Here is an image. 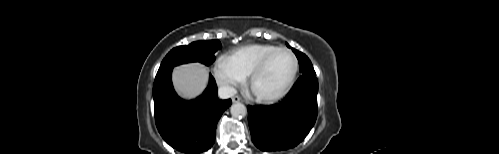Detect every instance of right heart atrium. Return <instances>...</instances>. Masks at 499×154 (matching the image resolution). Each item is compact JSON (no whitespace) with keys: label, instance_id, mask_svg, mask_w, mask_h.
I'll list each match as a JSON object with an SVG mask.
<instances>
[{"label":"right heart atrium","instance_id":"1","mask_svg":"<svg viewBox=\"0 0 499 154\" xmlns=\"http://www.w3.org/2000/svg\"><path fill=\"white\" fill-rule=\"evenodd\" d=\"M213 75L216 83L226 93H231L234 87L243 83L244 75L234 66L228 56H220L213 65Z\"/></svg>","mask_w":499,"mask_h":154}]
</instances>
